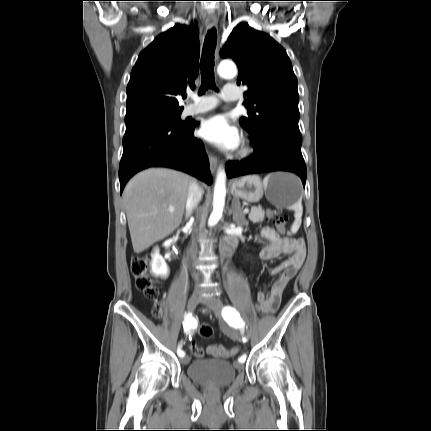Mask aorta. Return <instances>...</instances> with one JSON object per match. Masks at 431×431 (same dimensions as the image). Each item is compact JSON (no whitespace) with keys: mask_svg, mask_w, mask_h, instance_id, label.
Returning <instances> with one entry per match:
<instances>
[{"mask_svg":"<svg viewBox=\"0 0 431 431\" xmlns=\"http://www.w3.org/2000/svg\"><path fill=\"white\" fill-rule=\"evenodd\" d=\"M218 74L223 78H232L237 74V68L233 62L224 61L218 66ZM226 174L220 169L214 187L213 211L208 220V226H214L221 219L225 206Z\"/></svg>","mask_w":431,"mask_h":431,"instance_id":"obj_1","label":"aorta"}]
</instances>
